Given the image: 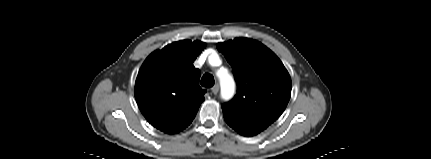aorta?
I'll return each mask as SVG.
<instances>
[{
  "label": "aorta",
  "instance_id": "obj_1",
  "mask_svg": "<svg viewBox=\"0 0 431 159\" xmlns=\"http://www.w3.org/2000/svg\"><path fill=\"white\" fill-rule=\"evenodd\" d=\"M221 94L224 99H229L234 92V81L229 75L220 78Z\"/></svg>",
  "mask_w": 431,
  "mask_h": 159
}]
</instances>
